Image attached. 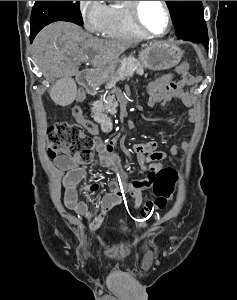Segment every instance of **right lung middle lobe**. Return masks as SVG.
I'll use <instances>...</instances> for the list:
<instances>
[{
  "instance_id": "1",
  "label": "right lung middle lobe",
  "mask_w": 237,
  "mask_h": 300,
  "mask_svg": "<svg viewBox=\"0 0 237 300\" xmlns=\"http://www.w3.org/2000/svg\"><path fill=\"white\" fill-rule=\"evenodd\" d=\"M55 21L83 25L79 1H35L31 14V32L37 34Z\"/></svg>"
}]
</instances>
